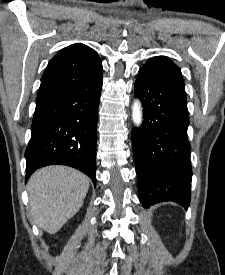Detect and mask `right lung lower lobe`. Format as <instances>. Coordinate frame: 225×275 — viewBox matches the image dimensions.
<instances>
[{
  "label": "right lung lower lobe",
  "mask_w": 225,
  "mask_h": 275,
  "mask_svg": "<svg viewBox=\"0 0 225 275\" xmlns=\"http://www.w3.org/2000/svg\"><path fill=\"white\" fill-rule=\"evenodd\" d=\"M102 75L93 88L36 100L31 139L25 151L26 181L38 168L72 166L96 181V127Z\"/></svg>",
  "instance_id": "right-lung-lower-lobe-1"
}]
</instances>
